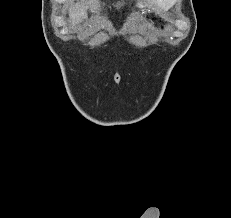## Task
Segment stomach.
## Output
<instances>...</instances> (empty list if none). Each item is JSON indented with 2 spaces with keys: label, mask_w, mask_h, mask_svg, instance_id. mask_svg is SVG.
<instances>
[{
  "label": "stomach",
  "mask_w": 231,
  "mask_h": 218,
  "mask_svg": "<svg viewBox=\"0 0 231 218\" xmlns=\"http://www.w3.org/2000/svg\"><path fill=\"white\" fill-rule=\"evenodd\" d=\"M137 6H138L140 9H142V10H144V9L147 8V5L144 4V3H142L140 0H138Z\"/></svg>",
  "instance_id": "stomach-1"
}]
</instances>
